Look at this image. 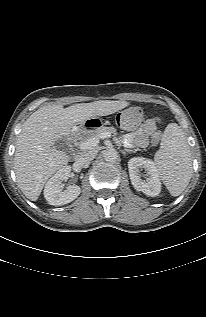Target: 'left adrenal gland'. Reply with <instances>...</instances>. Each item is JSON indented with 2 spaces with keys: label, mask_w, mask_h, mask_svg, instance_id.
<instances>
[{
  "label": "left adrenal gland",
  "mask_w": 206,
  "mask_h": 317,
  "mask_svg": "<svg viewBox=\"0 0 206 317\" xmlns=\"http://www.w3.org/2000/svg\"><path fill=\"white\" fill-rule=\"evenodd\" d=\"M137 150H130V149H124L123 154H125L126 152L128 153H135Z\"/></svg>",
  "instance_id": "left-adrenal-gland-1"
}]
</instances>
